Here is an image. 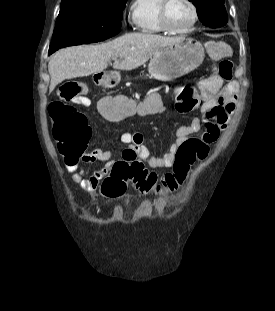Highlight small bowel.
<instances>
[{
  "instance_id": "small-bowel-1",
  "label": "small bowel",
  "mask_w": 275,
  "mask_h": 311,
  "mask_svg": "<svg viewBox=\"0 0 275 311\" xmlns=\"http://www.w3.org/2000/svg\"><path fill=\"white\" fill-rule=\"evenodd\" d=\"M201 103L190 99L178 100L175 104L180 113L196 112L199 110L204 118H194L187 126H179L175 130V140L160 156L151 155L149 148L143 142V135L139 132H122L115 140L129 145L122 150L123 159L141 160L151 169L169 168L173 165L176 153L182 142L190 135L200 133L217 138L220 132L227 126V122L235 108L238 86L235 82L224 83L216 74L207 77L200 85ZM150 97V96H149ZM88 106L89 104H79ZM102 114V113H101ZM107 149L98 147L85 151L77 159H65V168L70 173L72 180L83 190L95 194L106 175H109L113 165L118 162L113 159V153L109 143ZM101 161L104 165L97 170L89 171L82 163Z\"/></svg>"
}]
</instances>
